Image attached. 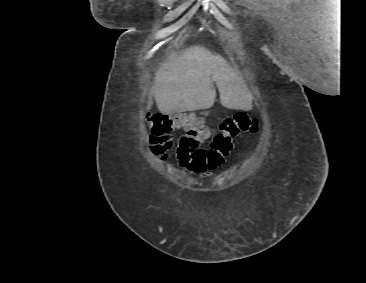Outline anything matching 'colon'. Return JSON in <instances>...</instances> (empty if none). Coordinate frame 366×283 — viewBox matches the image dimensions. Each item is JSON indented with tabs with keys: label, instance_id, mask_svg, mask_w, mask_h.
Segmentation results:
<instances>
[{
	"label": "colon",
	"instance_id": "1",
	"mask_svg": "<svg viewBox=\"0 0 366 283\" xmlns=\"http://www.w3.org/2000/svg\"><path fill=\"white\" fill-rule=\"evenodd\" d=\"M146 127L154 135L168 134L175 129L183 128L185 133L179 137L174 147V155L181 166L193 172H202L215 167L222 157L217 158L220 150L227 155L234 148V140L244 133L258 131V119L240 112L225 118L219 127V132L212 137L207 149L200 147L209 138L210 131L202 118L191 113H173L163 115L148 113Z\"/></svg>",
	"mask_w": 366,
	"mask_h": 283
}]
</instances>
